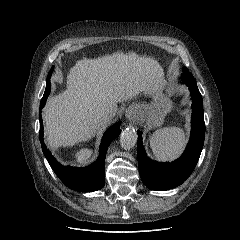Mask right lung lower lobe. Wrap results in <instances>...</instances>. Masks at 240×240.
Segmentation results:
<instances>
[{
  "mask_svg": "<svg viewBox=\"0 0 240 240\" xmlns=\"http://www.w3.org/2000/svg\"><path fill=\"white\" fill-rule=\"evenodd\" d=\"M46 100H41L40 111L44 107ZM40 119V131L39 139L42 147V151L50 164L51 168L59 179L70 189L80 192H93L101 189L104 186V166L105 156L110 143L121 132L119 124L116 123L106 130L102 138L99 147V156L94 163L87 167L74 168L61 165L54 156L46 148L43 138V122L41 118V112L39 114Z\"/></svg>",
  "mask_w": 240,
  "mask_h": 240,
  "instance_id": "obj_1",
  "label": "right lung lower lobe"
}]
</instances>
